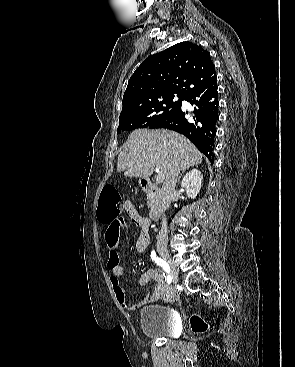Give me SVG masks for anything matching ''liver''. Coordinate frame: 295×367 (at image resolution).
I'll list each match as a JSON object with an SVG mask.
<instances>
[{"instance_id":"6515ba94","label":"liver","mask_w":295,"mask_h":367,"mask_svg":"<svg viewBox=\"0 0 295 367\" xmlns=\"http://www.w3.org/2000/svg\"><path fill=\"white\" fill-rule=\"evenodd\" d=\"M202 157L187 138L176 132L138 129L130 134L120 152L117 170L127 177L148 178L156 167L166 180L173 169L196 166Z\"/></svg>"}]
</instances>
